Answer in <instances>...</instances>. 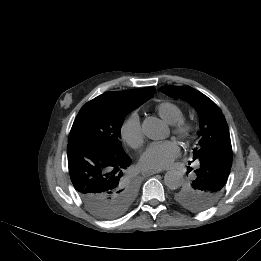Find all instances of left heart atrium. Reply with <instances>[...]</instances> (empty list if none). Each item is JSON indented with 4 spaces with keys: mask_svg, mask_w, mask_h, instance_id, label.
<instances>
[{
    "mask_svg": "<svg viewBox=\"0 0 261 261\" xmlns=\"http://www.w3.org/2000/svg\"><path fill=\"white\" fill-rule=\"evenodd\" d=\"M180 155V146L174 140L154 142L142 152L139 163L145 170H161L169 167Z\"/></svg>",
    "mask_w": 261,
    "mask_h": 261,
    "instance_id": "obj_1",
    "label": "left heart atrium"
}]
</instances>
